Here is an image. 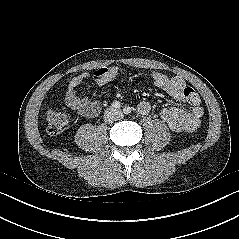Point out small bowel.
<instances>
[{"label":"small bowel","mask_w":239,"mask_h":239,"mask_svg":"<svg viewBox=\"0 0 239 239\" xmlns=\"http://www.w3.org/2000/svg\"><path fill=\"white\" fill-rule=\"evenodd\" d=\"M119 68L108 66L98 69L94 74H81L73 77L66 91V102L69 107L80 115L88 118L95 117L101 108L98 102L89 100L78 94L77 88L85 78H92L99 86L106 85L117 77ZM152 80L156 87L165 91L177 103L175 106L163 108L160 112L161 119L175 132H189L196 130L201 123L204 110L201 106H194L188 110L181 106L185 101L183 90L185 81L180 76L169 77L162 72H153ZM138 112L147 115L151 111L149 102L142 101L137 106Z\"/></svg>","instance_id":"small-bowel-1"}]
</instances>
